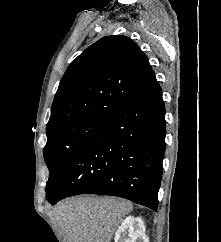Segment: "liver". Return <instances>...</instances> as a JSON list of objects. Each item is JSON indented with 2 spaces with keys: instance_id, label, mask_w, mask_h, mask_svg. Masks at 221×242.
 <instances>
[{
  "instance_id": "liver-1",
  "label": "liver",
  "mask_w": 221,
  "mask_h": 242,
  "mask_svg": "<svg viewBox=\"0 0 221 242\" xmlns=\"http://www.w3.org/2000/svg\"><path fill=\"white\" fill-rule=\"evenodd\" d=\"M132 204L119 198L74 197L57 204L52 211L63 242H110Z\"/></svg>"
}]
</instances>
